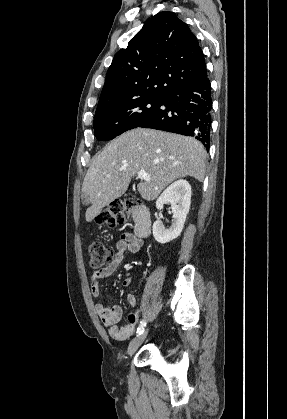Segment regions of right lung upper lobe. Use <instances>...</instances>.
<instances>
[{
    "mask_svg": "<svg viewBox=\"0 0 287 419\" xmlns=\"http://www.w3.org/2000/svg\"><path fill=\"white\" fill-rule=\"evenodd\" d=\"M206 74L203 52L188 25L172 12H159L116 53L96 112L141 97H163Z\"/></svg>",
    "mask_w": 287,
    "mask_h": 419,
    "instance_id": "right-lung-upper-lobe-1",
    "label": "right lung upper lobe"
}]
</instances>
